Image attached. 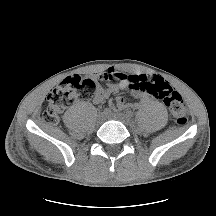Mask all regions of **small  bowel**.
Listing matches in <instances>:
<instances>
[{
    "mask_svg": "<svg viewBox=\"0 0 216 216\" xmlns=\"http://www.w3.org/2000/svg\"><path fill=\"white\" fill-rule=\"evenodd\" d=\"M101 81L110 83L109 86L98 87L97 93L94 96V102L101 104L105 102L111 94L118 92L121 89H131L135 97L140 99L141 103H149L155 95L149 90L141 88L140 84H148L150 82L164 81L160 76L146 74H127L117 72L114 69H108L97 76ZM140 104H128L121 97L117 98L112 106L115 109H124L127 107H138Z\"/></svg>",
    "mask_w": 216,
    "mask_h": 216,
    "instance_id": "small-bowel-1",
    "label": "small bowel"
}]
</instances>
